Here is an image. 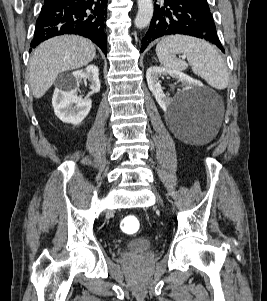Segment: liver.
I'll return each mask as SVG.
<instances>
[{
	"label": "liver",
	"instance_id": "obj_1",
	"mask_svg": "<svg viewBox=\"0 0 267 301\" xmlns=\"http://www.w3.org/2000/svg\"><path fill=\"white\" fill-rule=\"evenodd\" d=\"M96 55L94 44L84 37L63 35L41 43L30 59L29 84L35 98H41L57 76L89 64Z\"/></svg>",
	"mask_w": 267,
	"mask_h": 301
}]
</instances>
